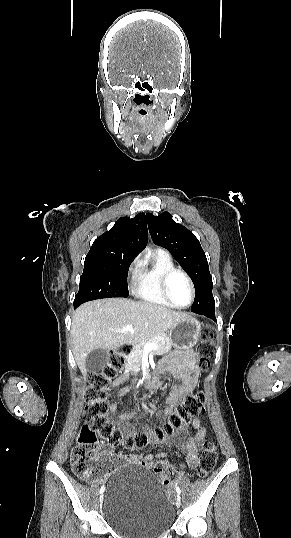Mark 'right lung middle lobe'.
Here are the masks:
<instances>
[{
    "instance_id": "dd1d6c3e",
    "label": "right lung middle lobe",
    "mask_w": 291,
    "mask_h": 538,
    "mask_svg": "<svg viewBox=\"0 0 291 538\" xmlns=\"http://www.w3.org/2000/svg\"><path fill=\"white\" fill-rule=\"evenodd\" d=\"M134 258L120 254H87L74 306L95 299L128 297L127 275Z\"/></svg>"
}]
</instances>
